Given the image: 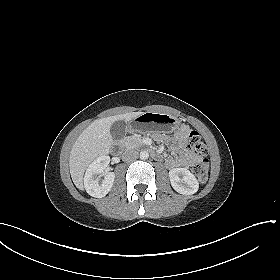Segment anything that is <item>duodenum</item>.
I'll use <instances>...</instances> for the list:
<instances>
[{"label":"duodenum","instance_id":"duodenum-1","mask_svg":"<svg viewBox=\"0 0 280 280\" xmlns=\"http://www.w3.org/2000/svg\"><path fill=\"white\" fill-rule=\"evenodd\" d=\"M115 148H116L118 151L124 150V148H125V142L117 143V144L115 145ZM144 149L147 150L148 147H147V146H144ZM151 156H152V158H154L155 160H161V159H162V155H161L160 153L155 152V151H152V152H151Z\"/></svg>","mask_w":280,"mask_h":280}]
</instances>
